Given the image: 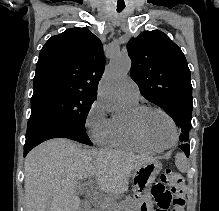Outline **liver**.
I'll use <instances>...</instances> for the list:
<instances>
[{
  "mask_svg": "<svg viewBox=\"0 0 219 211\" xmlns=\"http://www.w3.org/2000/svg\"><path fill=\"white\" fill-rule=\"evenodd\" d=\"M151 159L117 149H83L66 137L43 141L24 161L26 211H78L82 203L74 185L86 177H95L100 191L108 195L124 193L132 169ZM91 193L95 195V189Z\"/></svg>",
  "mask_w": 219,
  "mask_h": 211,
  "instance_id": "6515ba94",
  "label": "liver"
}]
</instances>
